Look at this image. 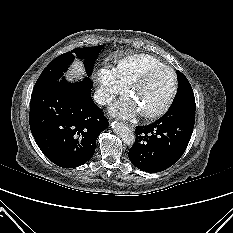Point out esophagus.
Wrapping results in <instances>:
<instances>
[{"instance_id": "1", "label": "esophagus", "mask_w": 233, "mask_h": 233, "mask_svg": "<svg viewBox=\"0 0 233 233\" xmlns=\"http://www.w3.org/2000/svg\"><path fill=\"white\" fill-rule=\"evenodd\" d=\"M128 127L131 128V129H133V128H134V125L128 124Z\"/></svg>"}]
</instances>
